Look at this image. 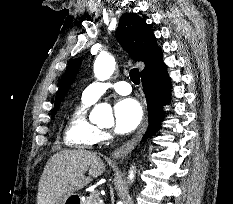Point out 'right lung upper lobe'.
<instances>
[{
	"mask_svg": "<svg viewBox=\"0 0 233 204\" xmlns=\"http://www.w3.org/2000/svg\"><path fill=\"white\" fill-rule=\"evenodd\" d=\"M116 39L135 61L145 63V69L141 72V76L164 64L162 50L157 46L155 36L149 25L138 15L125 13L121 16L116 30ZM80 64L81 59L78 58L66 69L55 98L53 116L72 84Z\"/></svg>",
	"mask_w": 233,
	"mask_h": 204,
	"instance_id": "obj_1",
	"label": "right lung upper lobe"
}]
</instances>
